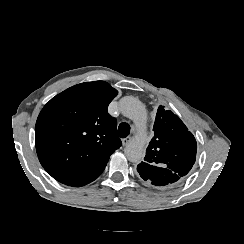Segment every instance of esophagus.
<instances>
[{
    "mask_svg": "<svg viewBox=\"0 0 244 244\" xmlns=\"http://www.w3.org/2000/svg\"><path fill=\"white\" fill-rule=\"evenodd\" d=\"M131 139H132V138H131L130 136L124 138V139L122 140V145H123V146H127V145L130 143Z\"/></svg>",
    "mask_w": 244,
    "mask_h": 244,
    "instance_id": "1",
    "label": "esophagus"
}]
</instances>
